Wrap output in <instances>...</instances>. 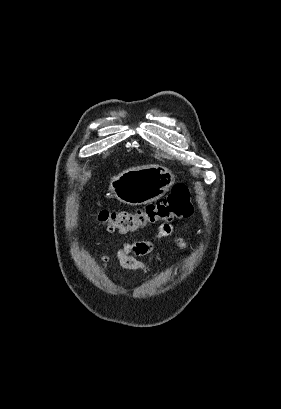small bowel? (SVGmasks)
Here are the masks:
<instances>
[{
	"mask_svg": "<svg viewBox=\"0 0 281 409\" xmlns=\"http://www.w3.org/2000/svg\"><path fill=\"white\" fill-rule=\"evenodd\" d=\"M175 231V226L172 224H163L159 229V236H169ZM179 246H184V240L182 238L177 239ZM153 250V243L148 240L133 241L124 244L117 251V258L120 266L125 270H147V265L139 260L138 256L149 254ZM109 260L107 255L103 256L102 262L105 265Z\"/></svg>",
	"mask_w": 281,
	"mask_h": 409,
	"instance_id": "1",
	"label": "small bowel"
}]
</instances>
